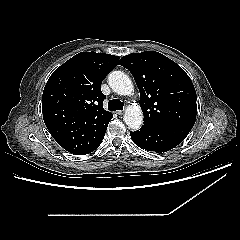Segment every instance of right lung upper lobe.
<instances>
[{"instance_id": "obj_1", "label": "right lung upper lobe", "mask_w": 240, "mask_h": 240, "mask_svg": "<svg viewBox=\"0 0 240 240\" xmlns=\"http://www.w3.org/2000/svg\"><path fill=\"white\" fill-rule=\"evenodd\" d=\"M118 60L109 54L81 52L50 76L42 96L43 119L68 152L82 154L105 135L113 114L103 108L101 83Z\"/></svg>"}]
</instances>
